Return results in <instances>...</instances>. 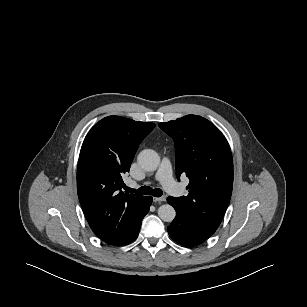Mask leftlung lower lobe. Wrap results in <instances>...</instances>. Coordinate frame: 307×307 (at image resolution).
<instances>
[{
  "instance_id": "obj_1",
  "label": "left lung lower lobe",
  "mask_w": 307,
  "mask_h": 307,
  "mask_svg": "<svg viewBox=\"0 0 307 307\" xmlns=\"http://www.w3.org/2000/svg\"><path fill=\"white\" fill-rule=\"evenodd\" d=\"M167 201L176 210V217L168 226L170 237L177 243L193 247L207 240L213 232L204 229L193 222L178 206L175 204L173 197H168Z\"/></svg>"
}]
</instances>
